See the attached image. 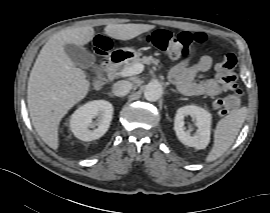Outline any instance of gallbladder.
<instances>
[{
	"label": "gallbladder",
	"instance_id": "obj_1",
	"mask_svg": "<svg viewBox=\"0 0 270 213\" xmlns=\"http://www.w3.org/2000/svg\"><path fill=\"white\" fill-rule=\"evenodd\" d=\"M64 50L75 66L97 72L95 56L82 46L66 44Z\"/></svg>",
	"mask_w": 270,
	"mask_h": 213
}]
</instances>
